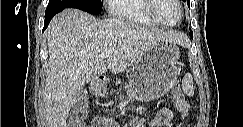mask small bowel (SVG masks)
Returning <instances> with one entry per match:
<instances>
[{"instance_id": "obj_1", "label": "small bowel", "mask_w": 243, "mask_h": 127, "mask_svg": "<svg viewBox=\"0 0 243 127\" xmlns=\"http://www.w3.org/2000/svg\"><path fill=\"white\" fill-rule=\"evenodd\" d=\"M174 107L180 114L182 119L186 118L189 115L190 107L189 104L184 99L183 101H179L177 99L174 100ZM173 120V113L168 107H161L157 113V116L149 123L150 127H167L170 126ZM118 125L109 122L106 119L98 118L94 120L91 124V127H117Z\"/></svg>"}]
</instances>
